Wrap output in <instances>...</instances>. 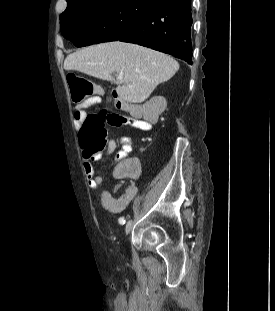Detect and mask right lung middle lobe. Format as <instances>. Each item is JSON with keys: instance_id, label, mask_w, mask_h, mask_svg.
Listing matches in <instances>:
<instances>
[{"instance_id": "dd1d6c3e", "label": "right lung middle lobe", "mask_w": 275, "mask_h": 311, "mask_svg": "<svg viewBox=\"0 0 275 311\" xmlns=\"http://www.w3.org/2000/svg\"><path fill=\"white\" fill-rule=\"evenodd\" d=\"M162 0H83L67 4L60 16L62 35L76 47L114 41Z\"/></svg>"}]
</instances>
